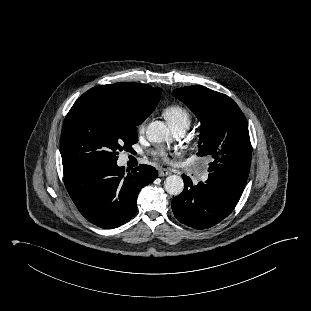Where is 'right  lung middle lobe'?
<instances>
[{
    "mask_svg": "<svg viewBox=\"0 0 311 311\" xmlns=\"http://www.w3.org/2000/svg\"><path fill=\"white\" fill-rule=\"evenodd\" d=\"M145 118L131 100L107 89H90L72 106L64 120L62 163L116 162L122 150L138 142L136 126Z\"/></svg>",
    "mask_w": 311,
    "mask_h": 311,
    "instance_id": "obj_1",
    "label": "right lung middle lobe"
}]
</instances>
